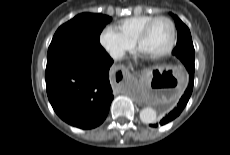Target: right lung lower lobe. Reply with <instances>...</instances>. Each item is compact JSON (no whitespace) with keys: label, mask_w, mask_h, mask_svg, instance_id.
<instances>
[{"label":"right lung lower lobe","mask_w":230,"mask_h":155,"mask_svg":"<svg viewBox=\"0 0 230 155\" xmlns=\"http://www.w3.org/2000/svg\"><path fill=\"white\" fill-rule=\"evenodd\" d=\"M112 63L108 54L47 63L48 99L62 120L81 129L95 128L105 120L114 98L108 79Z\"/></svg>","instance_id":"right-lung-lower-lobe-1"}]
</instances>
